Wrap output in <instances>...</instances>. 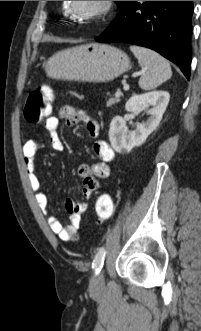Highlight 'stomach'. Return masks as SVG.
Wrapping results in <instances>:
<instances>
[{"label":"stomach","mask_w":201,"mask_h":331,"mask_svg":"<svg viewBox=\"0 0 201 331\" xmlns=\"http://www.w3.org/2000/svg\"><path fill=\"white\" fill-rule=\"evenodd\" d=\"M44 67L55 79L109 82L130 69V59L114 46L89 43L55 53Z\"/></svg>","instance_id":"1"}]
</instances>
